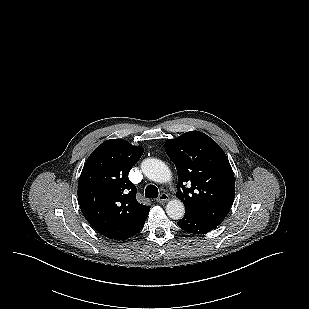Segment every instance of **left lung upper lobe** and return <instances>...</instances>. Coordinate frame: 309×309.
<instances>
[{"mask_svg": "<svg viewBox=\"0 0 309 309\" xmlns=\"http://www.w3.org/2000/svg\"><path fill=\"white\" fill-rule=\"evenodd\" d=\"M165 150L177 168L176 195L186 214L221 224L235 196L233 170L222 148L206 134L190 131L167 140Z\"/></svg>", "mask_w": 309, "mask_h": 309, "instance_id": "obj_1", "label": "left lung upper lobe"}]
</instances>
